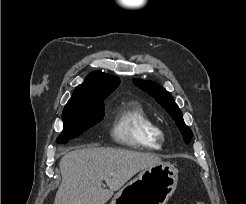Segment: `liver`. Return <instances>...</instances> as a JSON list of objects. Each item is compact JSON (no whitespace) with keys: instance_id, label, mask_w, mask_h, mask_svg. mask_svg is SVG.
Listing matches in <instances>:
<instances>
[{"instance_id":"obj_1","label":"liver","mask_w":246,"mask_h":204,"mask_svg":"<svg viewBox=\"0 0 246 204\" xmlns=\"http://www.w3.org/2000/svg\"><path fill=\"white\" fill-rule=\"evenodd\" d=\"M161 163L151 153L88 147L66 153L60 160L62 182L54 204H105L139 171ZM105 181L108 189L102 187Z\"/></svg>"}]
</instances>
